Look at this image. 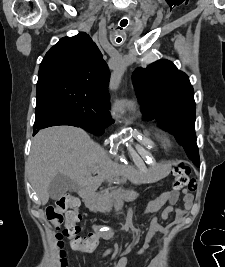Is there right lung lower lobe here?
<instances>
[{"mask_svg": "<svg viewBox=\"0 0 225 267\" xmlns=\"http://www.w3.org/2000/svg\"><path fill=\"white\" fill-rule=\"evenodd\" d=\"M36 99L37 103L33 135H35L40 129L50 126L70 125L80 127L74 118H72L48 96L44 94H37Z\"/></svg>", "mask_w": 225, "mask_h": 267, "instance_id": "98d812e1", "label": "right lung lower lobe"}]
</instances>
